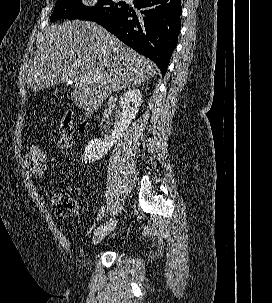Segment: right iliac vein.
<instances>
[{"label":"right iliac vein","mask_w":272,"mask_h":303,"mask_svg":"<svg viewBox=\"0 0 272 303\" xmlns=\"http://www.w3.org/2000/svg\"><path fill=\"white\" fill-rule=\"evenodd\" d=\"M116 223L117 219H114V221H110L103 230L97 232L93 238V246L101 243V241L115 228Z\"/></svg>","instance_id":"63e3f726"}]
</instances>
